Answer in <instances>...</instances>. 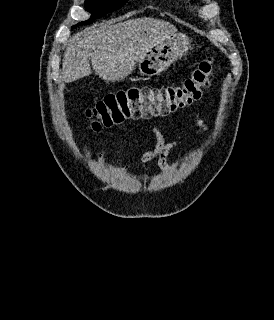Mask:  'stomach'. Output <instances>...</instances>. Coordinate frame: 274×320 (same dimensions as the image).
<instances>
[{
	"label": "stomach",
	"mask_w": 274,
	"mask_h": 320,
	"mask_svg": "<svg viewBox=\"0 0 274 320\" xmlns=\"http://www.w3.org/2000/svg\"><path fill=\"white\" fill-rule=\"evenodd\" d=\"M190 48V40L185 34H170L165 40H159L156 46L148 50L144 60L137 62L138 70L142 76L152 78L159 76L167 70L173 62L180 60L187 54Z\"/></svg>",
	"instance_id": "1"
}]
</instances>
